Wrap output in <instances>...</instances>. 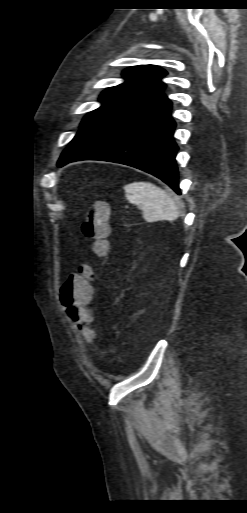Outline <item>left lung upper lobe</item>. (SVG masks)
Instances as JSON below:
<instances>
[{
	"instance_id": "1",
	"label": "left lung upper lobe",
	"mask_w": 247,
	"mask_h": 513,
	"mask_svg": "<svg viewBox=\"0 0 247 513\" xmlns=\"http://www.w3.org/2000/svg\"><path fill=\"white\" fill-rule=\"evenodd\" d=\"M166 74V71L154 65H139L124 70L126 81L102 92V106L86 115L81 127L154 91L163 85L161 78Z\"/></svg>"
}]
</instances>
